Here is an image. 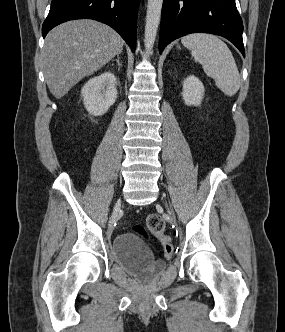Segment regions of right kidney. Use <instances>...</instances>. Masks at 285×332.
<instances>
[{"label": "right kidney", "mask_w": 285, "mask_h": 332, "mask_svg": "<svg viewBox=\"0 0 285 332\" xmlns=\"http://www.w3.org/2000/svg\"><path fill=\"white\" fill-rule=\"evenodd\" d=\"M87 111L94 116L105 114L117 99L116 77L104 72L91 78L81 90Z\"/></svg>", "instance_id": "obj_1"}]
</instances>
